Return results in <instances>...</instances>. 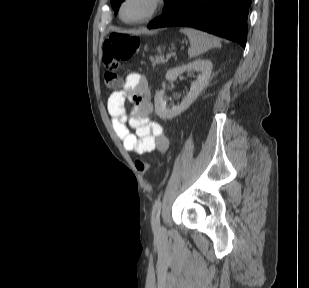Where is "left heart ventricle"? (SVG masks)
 Masks as SVG:
<instances>
[{"mask_svg": "<svg viewBox=\"0 0 309 288\" xmlns=\"http://www.w3.org/2000/svg\"><path fill=\"white\" fill-rule=\"evenodd\" d=\"M151 8L150 0H129L124 9V17L129 21L144 17Z\"/></svg>", "mask_w": 309, "mask_h": 288, "instance_id": "b2bd125f", "label": "left heart ventricle"}]
</instances>
